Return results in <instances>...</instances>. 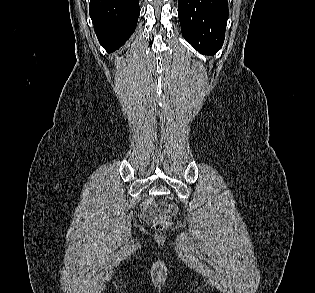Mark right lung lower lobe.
Returning a JSON list of instances; mask_svg holds the SVG:
<instances>
[{"instance_id":"98d812e1","label":"right lung lower lobe","mask_w":315,"mask_h":293,"mask_svg":"<svg viewBox=\"0 0 315 293\" xmlns=\"http://www.w3.org/2000/svg\"><path fill=\"white\" fill-rule=\"evenodd\" d=\"M89 12L100 44L111 53L134 32L139 0H90Z\"/></svg>"}]
</instances>
